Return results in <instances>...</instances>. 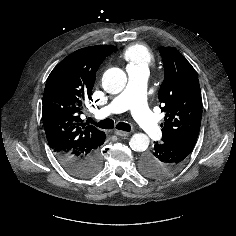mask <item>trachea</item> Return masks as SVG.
Returning <instances> with one entry per match:
<instances>
[{
    "instance_id": "1",
    "label": "trachea",
    "mask_w": 236,
    "mask_h": 236,
    "mask_svg": "<svg viewBox=\"0 0 236 236\" xmlns=\"http://www.w3.org/2000/svg\"><path fill=\"white\" fill-rule=\"evenodd\" d=\"M88 122L96 125L99 128H102V129H113L114 128V121L112 119H104V120H101L100 122L97 123L92 118H88ZM116 129L128 132L131 130V126L127 123L119 122L116 125Z\"/></svg>"
}]
</instances>
